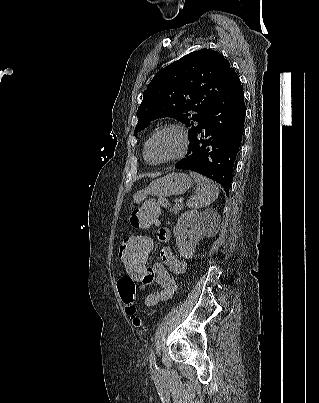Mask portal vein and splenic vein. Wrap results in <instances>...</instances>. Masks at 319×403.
I'll list each match as a JSON object with an SVG mask.
<instances>
[{"label":"portal vein and splenic vein","instance_id":"obj_1","mask_svg":"<svg viewBox=\"0 0 319 403\" xmlns=\"http://www.w3.org/2000/svg\"><path fill=\"white\" fill-rule=\"evenodd\" d=\"M182 201H183V198H179V199H177L175 202L182 203Z\"/></svg>","mask_w":319,"mask_h":403}]
</instances>
